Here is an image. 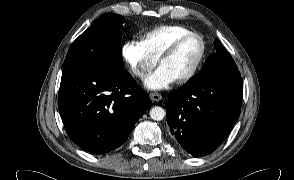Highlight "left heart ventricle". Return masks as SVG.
<instances>
[{"label":"left heart ventricle","instance_id":"obj_1","mask_svg":"<svg viewBox=\"0 0 294 180\" xmlns=\"http://www.w3.org/2000/svg\"><path fill=\"white\" fill-rule=\"evenodd\" d=\"M201 51L200 41L196 37L189 38L182 43L176 52L163 60V66L176 80L185 76L194 66Z\"/></svg>","mask_w":294,"mask_h":180}]
</instances>
